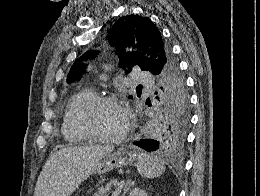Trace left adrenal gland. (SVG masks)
I'll return each instance as SVG.
<instances>
[{"label":"left adrenal gland","mask_w":260,"mask_h":196,"mask_svg":"<svg viewBox=\"0 0 260 196\" xmlns=\"http://www.w3.org/2000/svg\"><path fill=\"white\" fill-rule=\"evenodd\" d=\"M131 186H134V182H131V180H126V184L124 186L122 196H126L128 190H130Z\"/></svg>","instance_id":"obj_1"}]
</instances>
